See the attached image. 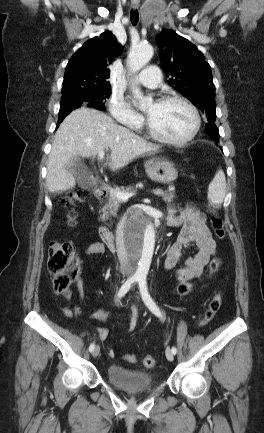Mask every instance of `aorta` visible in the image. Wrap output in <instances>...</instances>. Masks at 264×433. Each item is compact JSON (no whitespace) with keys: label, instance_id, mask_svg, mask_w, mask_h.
Segmentation results:
<instances>
[{"label":"aorta","instance_id":"obj_1","mask_svg":"<svg viewBox=\"0 0 264 433\" xmlns=\"http://www.w3.org/2000/svg\"><path fill=\"white\" fill-rule=\"evenodd\" d=\"M153 56L151 45L143 44L132 48L128 55V65L132 73L138 72L148 63ZM134 96L139 99L141 106L150 102V98H145L136 86H132ZM155 247V230L152 224H147L144 230L143 241L139 255L137 256V266L135 271L136 278H146Z\"/></svg>","mask_w":264,"mask_h":433}]
</instances>
